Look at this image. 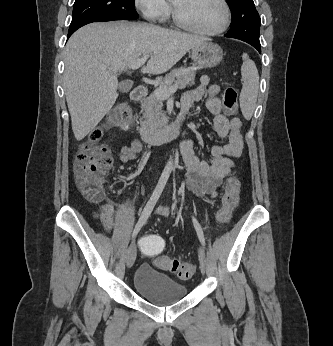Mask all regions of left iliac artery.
Wrapping results in <instances>:
<instances>
[{"label":"left iliac artery","mask_w":333,"mask_h":346,"mask_svg":"<svg viewBox=\"0 0 333 346\" xmlns=\"http://www.w3.org/2000/svg\"><path fill=\"white\" fill-rule=\"evenodd\" d=\"M192 221H193L195 230L198 234L200 242L202 243L203 246H205V239H204L203 231H202V228H201L199 222L194 217H192Z\"/></svg>","instance_id":"1"}]
</instances>
